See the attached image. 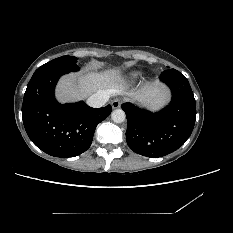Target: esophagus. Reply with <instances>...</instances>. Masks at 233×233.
<instances>
[{
	"instance_id": "34e87169",
	"label": "esophagus",
	"mask_w": 233,
	"mask_h": 233,
	"mask_svg": "<svg viewBox=\"0 0 233 233\" xmlns=\"http://www.w3.org/2000/svg\"><path fill=\"white\" fill-rule=\"evenodd\" d=\"M121 104H122V100L121 99H119V98H116V99H114L113 101H112V108L113 109H117V108H119L120 106H121Z\"/></svg>"
}]
</instances>
